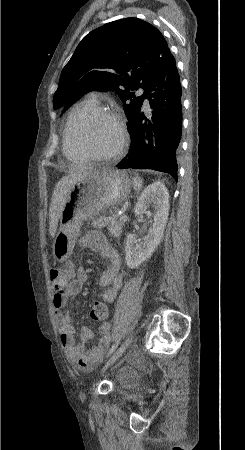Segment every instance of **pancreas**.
Returning a JSON list of instances; mask_svg holds the SVG:
<instances>
[{"mask_svg":"<svg viewBox=\"0 0 245 450\" xmlns=\"http://www.w3.org/2000/svg\"><path fill=\"white\" fill-rule=\"evenodd\" d=\"M93 226L99 229L107 226L110 234L114 237H118L122 232L124 221L118 219L115 216H101L93 222Z\"/></svg>","mask_w":245,"mask_h":450,"instance_id":"obj_1","label":"pancreas"}]
</instances>
